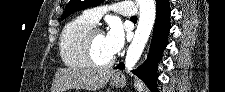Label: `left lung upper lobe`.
Returning <instances> with one entry per match:
<instances>
[{
    "label": "left lung upper lobe",
    "mask_w": 225,
    "mask_h": 92,
    "mask_svg": "<svg viewBox=\"0 0 225 92\" xmlns=\"http://www.w3.org/2000/svg\"><path fill=\"white\" fill-rule=\"evenodd\" d=\"M104 0H70L67 4L65 11L62 15V19L64 20L70 14L80 11L89 7L97 6L101 4Z\"/></svg>",
    "instance_id": "obj_1"
}]
</instances>
